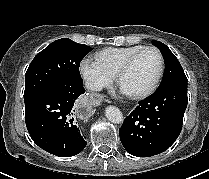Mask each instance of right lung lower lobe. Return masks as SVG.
Segmentation results:
<instances>
[{
	"label": "right lung lower lobe",
	"instance_id": "98d812e1",
	"mask_svg": "<svg viewBox=\"0 0 209 179\" xmlns=\"http://www.w3.org/2000/svg\"><path fill=\"white\" fill-rule=\"evenodd\" d=\"M85 92L83 84L60 85L37 96L25 106V122L33 141L56 156L79 154L86 146L73 117L75 100Z\"/></svg>",
	"mask_w": 209,
	"mask_h": 179
}]
</instances>
